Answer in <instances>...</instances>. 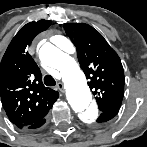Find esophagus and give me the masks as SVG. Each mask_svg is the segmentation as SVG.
I'll use <instances>...</instances> for the list:
<instances>
[{
    "label": "esophagus",
    "mask_w": 147,
    "mask_h": 147,
    "mask_svg": "<svg viewBox=\"0 0 147 147\" xmlns=\"http://www.w3.org/2000/svg\"><path fill=\"white\" fill-rule=\"evenodd\" d=\"M56 86L61 92H64V84L62 82H58Z\"/></svg>",
    "instance_id": "esophagus-1"
}]
</instances>
